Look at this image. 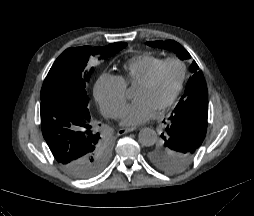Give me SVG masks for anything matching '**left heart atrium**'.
Returning <instances> with one entry per match:
<instances>
[{"label": "left heart atrium", "instance_id": "39dd6f15", "mask_svg": "<svg viewBox=\"0 0 254 216\" xmlns=\"http://www.w3.org/2000/svg\"><path fill=\"white\" fill-rule=\"evenodd\" d=\"M156 110L148 101L136 99L123 111L121 124L127 127L144 124L155 116Z\"/></svg>", "mask_w": 254, "mask_h": 216}]
</instances>
